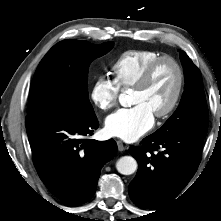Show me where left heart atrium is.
Masks as SVG:
<instances>
[{"label": "left heart atrium", "mask_w": 221, "mask_h": 221, "mask_svg": "<svg viewBox=\"0 0 221 221\" xmlns=\"http://www.w3.org/2000/svg\"><path fill=\"white\" fill-rule=\"evenodd\" d=\"M154 124L153 113L143 104L119 109L107 117L105 130L113 137L125 141H135L145 134Z\"/></svg>", "instance_id": "39dd6f15"}]
</instances>
